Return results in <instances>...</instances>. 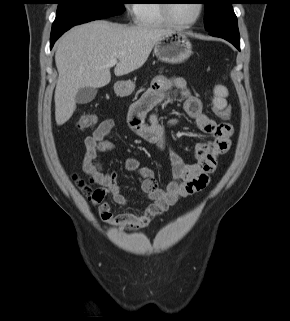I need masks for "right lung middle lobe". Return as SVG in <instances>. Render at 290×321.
<instances>
[{
    "label": "right lung middle lobe",
    "instance_id": "1",
    "mask_svg": "<svg viewBox=\"0 0 290 321\" xmlns=\"http://www.w3.org/2000/svg\"><path fill=\"white\" fill-rule=\"evenodd\" d=\"M124 3V0H57L58 9L52 29L122 14Z\"/></svg>",
    "mask_w": 290,
    "mask_h": 321
}]
</instances>
